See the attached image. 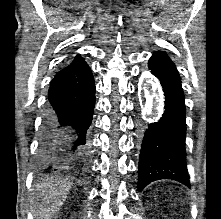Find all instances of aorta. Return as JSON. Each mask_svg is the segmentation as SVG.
<instances>
[{"mask_svg": "<svg viewBox=\"0 0 221 219\" xmlns=\"http://www.w3.org/2000/svg\"><path fill=\"white\" fill-rule=\"evenodd\" d=\"M140 90L142 92L143 102L141 104V117L146 118L152 114L155 106V98L158 96L159 87L154 82L149 73H144L139 80Z\"/></svg>", "mask_w": 221, "mask_h": 219, "instance_id": "aorta-1", "label": "aorta"}]
</instances>
